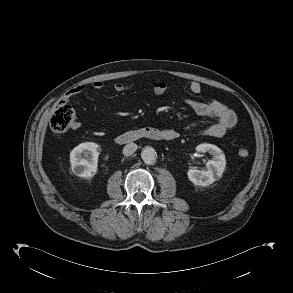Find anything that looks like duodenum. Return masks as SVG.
Returning a JSON list of instances; mask_svg holds the SVG:
<instances>
[{
  "label": "duodenum",
  "mask_w": 293,
  "mask_h": 293,
  "mask_svg": "<svg viewBox=\"0 0 293 293\" xmlns=\"http://www.w3.org/2000/svg\"><path fill=\"white\" fill-rule=\"evenodd\" d=\"M146 138L151 140H172L175 137L165 131L157 129L155 127H144L137 130H131L119 134L115 141L117 144H128L139 139Z\"/></svg>",
  "instance_id": "obj_1"
}]
</instances>
